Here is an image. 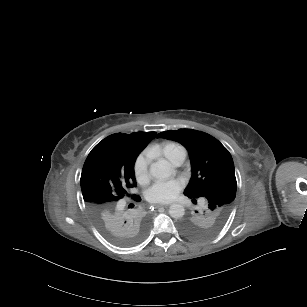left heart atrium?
Masks as SVG:
<instances>
[{
  "label": "left heart atrium",
  "instance_id": "obj_1",
  "mask_svg": "<svg viewBox=\"0 0 307 307\" xmlns=\"http://www.w3.org/2000/svg\"><path fill=\"white\" fill-rule=\"evenodd\" d=\"M179 192V185L175 181H158L146 190V197L152 203H168Z\"/></svg>",
  "mask_w": 307,
  "mask_h": 307
}]
</instances>
